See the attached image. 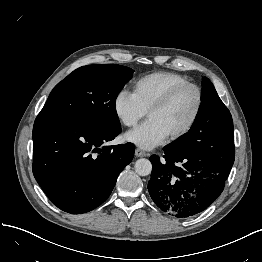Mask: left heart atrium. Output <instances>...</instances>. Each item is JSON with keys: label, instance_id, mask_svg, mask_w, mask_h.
<instances>
[{"label": "left heart atrium", "instance_id": "obj_1", "mask_svg": "<svg viewBox=\"0 0 262 262\" xmlns=\"http://www.w3.org/2000/svg\"><path fill=\"white\" fill-rule=\"evenodd\" d=\"M168 135L154 120L146 122L125 134V139L143 149H151L167 139Z\"/></svg>", "mask_w": 262, "mask_h": 262}]
</instances>
